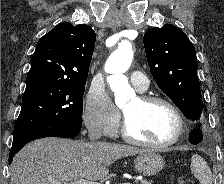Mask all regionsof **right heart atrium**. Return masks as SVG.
Masks as SVG:
<instances>
[{
	"instance_id": "1",
	"label": "right heart atrium",
	"mask_w": 224,
	"mask_h": 184,
	"mask_svg": "<svg viewBox=\"0 0 224 184\" xmlns=\"http://www.w3.org/2000/svg\"><path fill=\"white\" fill-rule=\"evenodd\" d=\"M83 121L86 127L102 135H112L120 124V114L103 88L92 87L88 93Z\"/></svg>"
}]
</instances>
